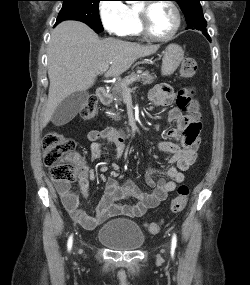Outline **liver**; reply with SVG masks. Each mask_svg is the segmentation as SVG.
<instances>
[{"label": "liver", "instance_id": "liver-1", "mask_svg": "<svg viewBox=\"0 0 250 285\" xmlns=\"http://www.w3.org/2000/svg\"><path fill=\"white\" fill-rule=\"evenodd\" d=\"M158 49V45L100 39L91 28L78 21L60 23L53 30L48 46L50 86L41 125L48 124L65 98L92 87L101 67L110 65L105 77L118 76L137 59L152 55Z\"/></svg>", "mask_w": 250, "mask_h": 285}]
</instances>
